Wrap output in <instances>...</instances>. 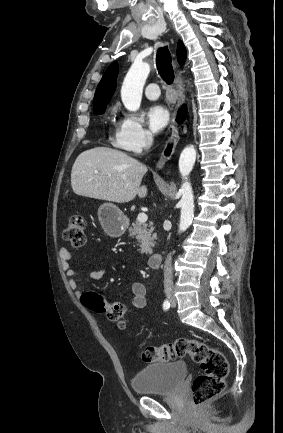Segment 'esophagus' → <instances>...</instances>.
Instances as JSON below:
<instances>
[{
	"mask_svg": "<svg viewBox=\"0 0 283 433\" xmlns=\"http://www.w3.org/2000/svg\"><path fill=\"white\" fill-rule=\"evenodd\" d=\"M177 87H178V92L180 97L179 106H181L185 102V89H184L182 74L180 71H178ZM178 140H179V125L177 123L176 114H175L172 120V125L169 132L168 140L166 141L165 147L157 162L156 168L160 169L164 167L165 163L173 155Z\"/></svg>",
	"mask_w": 283,
	"mask_h": 433,
	"instance_id": "34e87169",
	"label": "esophagus"
}]
</instances>
